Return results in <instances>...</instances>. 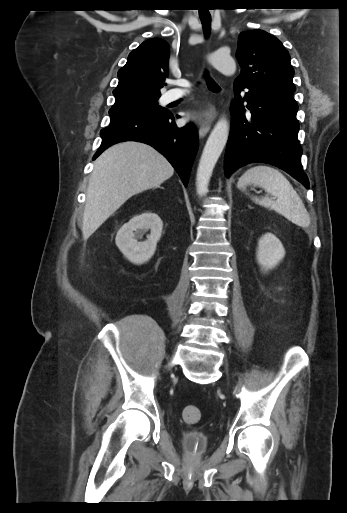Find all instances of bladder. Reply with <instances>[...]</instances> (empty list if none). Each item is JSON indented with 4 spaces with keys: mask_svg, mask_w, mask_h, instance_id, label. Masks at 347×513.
<instances>
[{
    "mask_svg": "<svg viewBox=\"0 0 347 513\" xmlns=\"http://www.w3.org/2000/svg\"><path fill=\"white\" fill-rule=\"evenodd\" d=\"M182 443L183 448L187 452L196 455L204 454L209 445L208 438L205 434L190 430L183 432Z\"/></svg>",
    "mask_w": 347,
    "mask_h": 513,
    "instance_id": "obj_1",
    "label": "bladder"
}]
</instances>
